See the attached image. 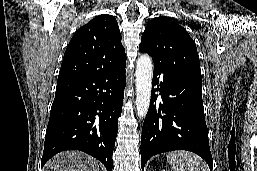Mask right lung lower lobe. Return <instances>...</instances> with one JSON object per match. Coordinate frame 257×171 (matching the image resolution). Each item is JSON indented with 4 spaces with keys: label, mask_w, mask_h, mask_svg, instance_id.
Wrapping results in <instances>:
<instances>
[{
    "label": "right lung lower lobe",
    "mask_w": 257,
    "mask_h": 171,
    "mask_svg": "<svg viewBox=\"0 0 257 171\" xmlns=\"http://www.w3.org/2000/svg\"><path fill=\"white\" fill-rule=\"evenodd\" d=\"M126 62L84 77L57 81L41 166L64 150H80L112 171L122 112Z\"/></svg>",
    "instance_id": "1"
}]
</instances>
